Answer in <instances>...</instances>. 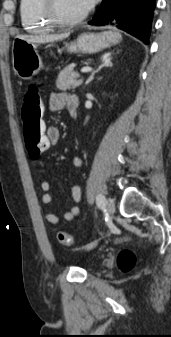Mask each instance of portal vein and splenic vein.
<instances>
[{
  "mask_svg": "<svg viewBox=\"0 0 171 337\" xmlns=\"http://www.w3.org/2000/svg\"><path fill=\"white\" fill-rule=\"evenodd\" d=\"M92 70V68H90V67H83L82 69H81V72L82 73H87V72H90Z\"/></svg>",
  "mask_w": 171,
  "mask_h": 337,
  "instance_id": "portal-vein-and-splenic-vein-1",
  "label": "portal vein and splenic vein"
}]
</instances>
